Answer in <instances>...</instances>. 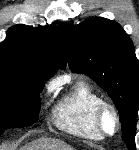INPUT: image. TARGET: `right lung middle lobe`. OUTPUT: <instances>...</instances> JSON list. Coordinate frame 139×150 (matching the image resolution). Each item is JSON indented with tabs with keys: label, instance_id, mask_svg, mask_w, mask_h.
<instances>
[{
	"label": "right lung middle lobe",
	"instance_id": "obj_1",
	"mask_svg": "<svg viewBox=\"0 0 139 150\" xmlns=\"http://www.w3.org/2000/svg\"><path fill=\"white\" fill-rule=\"evenodd\" d=\"M44 81L29 73L0 70V135L37 121Z\"/></svg>",
	"mask_w": 139,
	"mask_h": 150
}]
</instances>
